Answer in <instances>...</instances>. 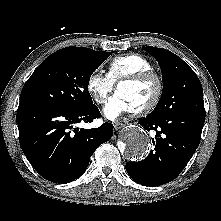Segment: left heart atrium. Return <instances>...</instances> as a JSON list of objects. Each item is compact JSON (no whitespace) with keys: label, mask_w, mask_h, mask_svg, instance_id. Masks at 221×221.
<instances>
[{"label":"left heart atrium","mask_w":221,"mask_h":221,"mask_svg":"<svg viewBox=\"0 0 221 221\" xmlns=\"http://www.w3.org/2000/svg\"><path fill=\"white\" fill-rule=\"evenodd\" d=\"M133 108L119 93L112 96L106 103L103 112L110 120H116L124 113L132 112Z\"/></svg>","instance_id":"left-heart-atrium-1"}]
</instances>
